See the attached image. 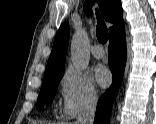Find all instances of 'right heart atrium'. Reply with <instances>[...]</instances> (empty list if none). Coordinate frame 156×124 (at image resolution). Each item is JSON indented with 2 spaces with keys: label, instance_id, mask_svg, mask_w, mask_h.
<instances>
[{
  "label": "right heart atrium",
  "instance_id": "right-heart-atrium-1",
  "mask_svg": "<svg viewBox=\"0 0 156 124\" xmlns=\"http://www.w3.org/2000/svg\"><path fill=\"white\" fill-rule=\"evenodd\" d=\"M60 93L63 114L67 118H73L94 108L98 101V92L93 81L72 69L63 73L60 79Z\"/></svg>",
  "mask_w": 156,
  "mask_h": 124
}]
</instances>
